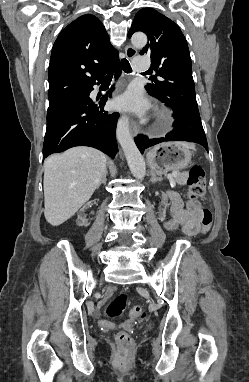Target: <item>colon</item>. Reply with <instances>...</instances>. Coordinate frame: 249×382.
<instances>
[{"label": "colon", "instance_id": "5ec220e1", "mask_svg": "<svg viewBox=\"0 0 249 382\" xmlns=\"http://www.w3.org/2000/svg\"><path fill=\"white\" fill-rule=\"evenodd\" d=\"M187 184L189 191L186 199V206L190 210H200L202 212V232H207L213 221V215L210 209L202 208L200 205V198L205 193L206 188V179L205 171L200 166H194L189 171V176L187 179ZM127 303V296L124 293H120L113 297L105 308V314L108 318L119 317L125 310ZM131 317L137 320H145L147 318L146 311L140 307L136 306L131 311ZM116 324L103 321L101 323L102 329H111L115 328ZM117 343L124 348H130L133 344L131 336L124 331L118 332L116 335Z\"/></svg>", "mask_w": 249, "mask_h": 382}]
</instances>
